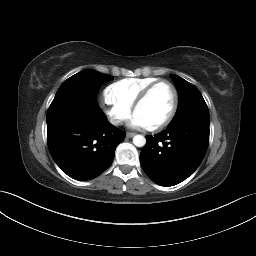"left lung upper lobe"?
Here are the masks:
<instances>
[{
	"mask_svg": "<svg viewBox=\"0 0 256 256\" xmlns=\"http://www.w3.org/2000/svg\"><path fill=\"white\" fill-rule=\"evenodd\" d=\"M179 93L178 108L169 126L187 119H195L209 123L208 107L199 92L191 83L177 75H170Z\"/></svg>",
	"mask_w": 256,
	"mask_h": 256,
	"instance_id": "left-lung-upper-lobe-1",
	"label": "left lung upper lobe"
}]
</instances>
